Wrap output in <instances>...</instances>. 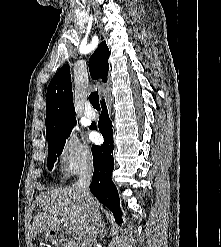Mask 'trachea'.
<instances>
[{
  "label": "trachea",
  "mask_w": 221,
  "mask_h": 247,
  "mask_svg": "<svg viewBox=\"0 0 221 247\" xmlns=\"http://www.w3.org/2000/svg\"><path fill=\"white\" fill-rule=\"evenodd\" d=\"M89 101L95 109H100L99 95L97 92H93L90 94Z\"/></svg>",
  "instance_id": "3493384b"
}]
</instances>
